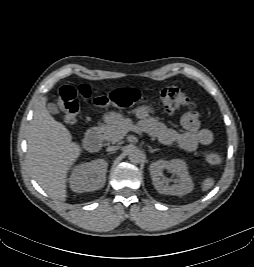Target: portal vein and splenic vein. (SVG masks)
<instances>
[{"label": "portal vein and splenic vein", "instance_id": "obj_1", "mask_svg": "<svg viewBox=\"0 0 254 267\" xmlns=\"http://www.w3.org/2000/svg\"><path fill=\"white\" fill-rule=\"evenodd\" d=\"M129 130L138 133L139 135H142V132L140 131V129L135 126V125H131L128 130L126 132H123L124 134H126Z\"/></svg>", "mask_w": 254, "mask_h": 267}]
</instances>
